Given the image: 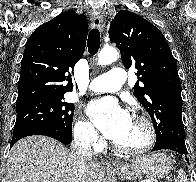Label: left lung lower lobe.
Here are the masks:
<instances>
[{"mask_svg":"<svg viewBox=\"0 0 196 182\" xmlns=\"http://www.w3.org/2000/svg\"><path fill=\"white\" fill-rule=\"evenodd\" d=\"M163 149L175 151L185 157H187V154H188L185 142H179L175 140H167L161 143H157L155 144L152 151L163 150ZM185 159L189 163V159L188 158H185Z\"/></svg>","mask_w":196,"mask_h":182,"instance_id":"0a47b994","label":"left lung lower lobe"}]
</instances>
